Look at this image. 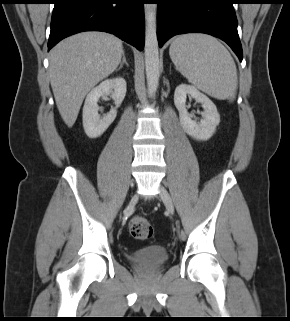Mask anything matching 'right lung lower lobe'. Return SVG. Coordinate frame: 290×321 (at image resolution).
<instances>
[{
    "label": "right lung lower lobe",
    "mask_w": 290,
    "mask_h": 321,
    "mask_svg": "<svg viewBox=\"0 0 290 321\" xmlns=\"http://www.w3.org/2000/svg\"><path fill=\"white\" fill-rule=\"evenodd\" d=\"M48 50L83 31L109 32L139 50L144 47L143 4L147 0H54Z\"/></svg>",
    "instance_id": "right-lung-lower-lobe-1"
}]
</instances>
